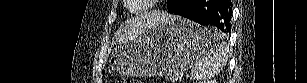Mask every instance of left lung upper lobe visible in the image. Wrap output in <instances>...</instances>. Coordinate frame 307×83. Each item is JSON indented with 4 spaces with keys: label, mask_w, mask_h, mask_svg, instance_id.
<instances>
[{
    "label": "left lung upper lobe",
    "mask_w": 307,
    "mask_h": 83,
    "mask_svg": "<svg viewBox=\"0 0 307 83\" xmlns=\"http://www.w3.org/2000/svg\"><path fill=\"white\" fill-rule=\"evenodd\" d=\"M173 0H167V6H169L172 3Z\"/></svg>",
    "instance_id": "5c2ea615"
}]
</instances>
